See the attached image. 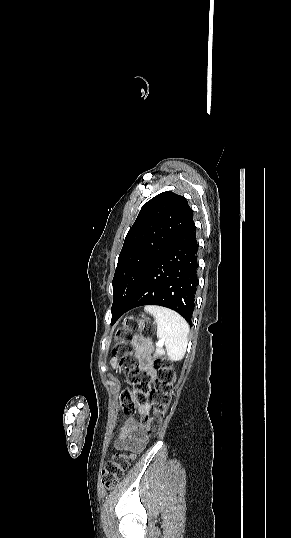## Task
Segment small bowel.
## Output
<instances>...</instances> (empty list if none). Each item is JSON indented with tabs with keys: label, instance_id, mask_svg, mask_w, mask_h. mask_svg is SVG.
<instances>
[{
	"label": "small bowel",
	"instance_id": "small-bowel-1",
	"mask_svg": "<svg viewBox=\"0 0 291 538\" xmlns=\"http://www.w3.org/2000/svg\"><path fill=\"white\" fill-rule=\"evenodd\" d=\"M138 345L141 347L143 340H136ZM113 370H116V367H113ZM148 405H142L139 407V411L142 414L148 412ZM147 443V436L141 427L138 425L137 421L129 417L121 425L120 432L116 440V447L122 448L125 446H130L134 452H140L144 449Z\"/></svg>",
	"mask_w": 291,
	"mask_h": 538
}]
</instances>
